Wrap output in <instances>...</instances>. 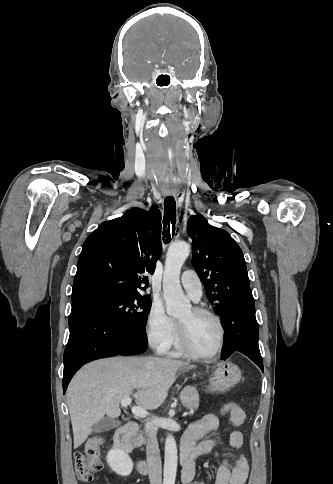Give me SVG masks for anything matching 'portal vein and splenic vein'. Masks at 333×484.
<instances>
[{"mask_svg":"<svg viewBox=\"0 0 333 484\" xmlns=\"http://www.w3.org/2000/svg\"><path fill=\"white\" fill-rule=\"evenodd\" d=\"M131 402H132L131 397H125L124 399H122V401H121V405H122V406H124V407H126V406L130 405V404H131ZM131 411H132L133 415H135V416H137V417H142V418H144V417H146V416L148 415V411H146L145 409H143V408H141V407H138V406H133V407L131 408ZM189 413H190V414H193V413H194V411L192 410V411H190ZM186 415H187V414H183V416H186Z\"/></svg>","mask_w":333,"mask_h":484,"instance_id":"portal-vein-and-splenic-vein-1","label":"portal vein and splenic vein"}]
</instances>
